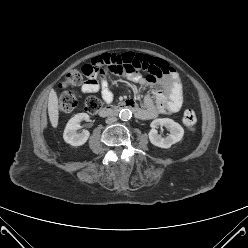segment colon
Listing matches in <instances>:
<instances>
[{"label": "colon", "mask_w": 248, "mask_h": 248, "mask_svg": "<svg viewBox=\"0 0 248 248\" xmlns=\"http://www.w3.org/2000/svg\"><path fill=\"white\" fill-rule=\"evenodd\" d=\"M106 71L120 72L119 62L112 55H102L94 58L89 64L82 67V72L77 70L66 73L60 88H68L70 86L82 83L83 76H101ZM77 104L76 96L69 91H64L60 96L59 110L61 113H70ZM102 107L101 101L96 97H89L85 101V110L88 113L95 114ZM183 124L190 132L196 131L197 116L192 109H187L183 113Z\"/></svg>", "instance_id": "colon-1"}]
</instances>
